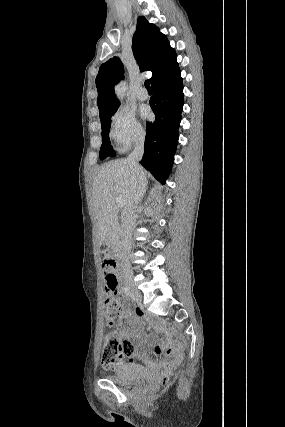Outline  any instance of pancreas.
<instances>
[{"instance_id": "pancreas-1", "label": "pancreas", "mask_w": 285, "mask_h": 427, "mask_svg": "<svg viewBox=\"0 0 285 427\" xmlns=\"http://www.w3.org/2000/svg\"><path fill=\"white\" fill-rule=\"evenodd\" d=\"M120 237V228L118 225H114L111 230L108 232L106 244L109 247L117 245Z\"/></svg>"}]
</instances>
